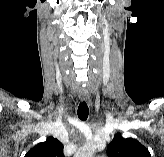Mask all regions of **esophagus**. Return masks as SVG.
<instances>
[{"mask_svg":"<svg viewBox=\"0 0 164 157\" xmlns=\"http://www.w3.org/2000/svg\"><path fill=\"white\" fill-rule=\"evenodd\" d=\"M81 101H87L90 106H92L90 100H89V94L87 91H81L79 95Z\"/></svg>","mask_w":164,"mask_h":157,"instance_id":"1","label":"esophagus"}]
</instances>
